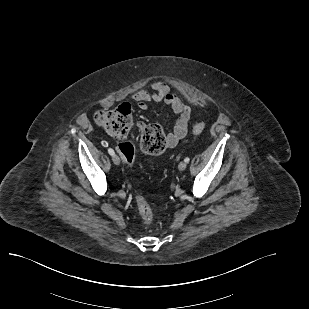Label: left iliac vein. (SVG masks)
<instances>
[{"instance_id":"1","label":"left iliac vein","mask_w":309,"mask_h":309,"mask_svg":"<svg viewBox=\"0 0 309 309\" xmlns=\"http://www.w3.org/2000/svg\"><path fill=\"white\" fill-rule=\"evenodd\" d=\"M186 167H187V163L185 161L180 162L179 165H178V168H179L180 171L185 170Z\"/></svg>"}]
</instances>
